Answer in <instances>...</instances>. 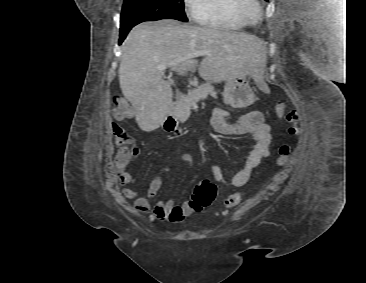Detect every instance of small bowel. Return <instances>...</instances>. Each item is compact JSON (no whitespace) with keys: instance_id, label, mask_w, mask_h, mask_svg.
Listing matches in <instances>:
<instances>
[{"instance_id":"c3829d8e","label":"small bowel","mask_w":366,"mask_h":283,"mask_svg":"<svg viewBox=\"0 0 366 283\" xmlns=\"http://www.w3.org/2000/svg\"><path fill=\"white\" fill-rule=\"evenodd\" d=\"M212 123L215 130L222 135H251L254 144L248 153L244 167L239 170L233 177L226 180L220 166L213 165L212 173L214 178L231 187H241L245 185L252 173L258 166L260 161L269 154V146L271 141L270 126L265 122L264 114L260 111H251L234 122H229L227 112L222 108H215ZM182 160L192 163L189 154H182ZM168 171L163 168L150 182L146 195H141L139 191L128 188L126 186L135 183V178L127 171L126 165L117 164L118 182L123 187L122 193L128 200L133 202L135 208L143 213H152L155 218L161 221L180 222L185 216L190 215L193 211L188 203L176 205L173 201H158L153 209L150 207L149 201L156 196L162 186V174Z\"/></svg>"}]
</instances>
